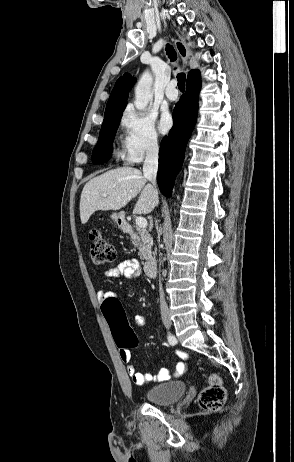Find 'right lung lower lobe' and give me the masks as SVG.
<instances>
[{
	"instance_id": "obj_1",
	"label": "right lung lower lobe",
	"mask_w": 294,
	"mask_h": 462,
	"mask_svg": "<svg viewBox=\"0 0 294 462\" xmlns=\"http://www.w3.org/2000/svg\"><path fill=\"white\" fill-rule=\"evenodd\" d=\"M200 74L187 79L186 94L173 111L174 125L161 143L157 182L163 195L170 197L176 175L180 171L186 144L197 120Z\"/></svg>"
}]
</instances>
